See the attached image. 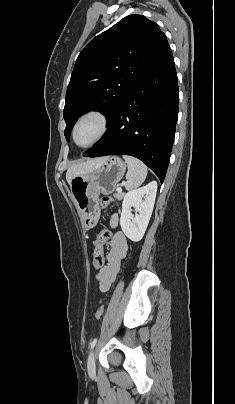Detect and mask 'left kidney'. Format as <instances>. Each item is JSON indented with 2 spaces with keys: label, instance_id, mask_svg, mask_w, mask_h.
<instances>
[{
  "label": "left kidney",
  "instance_id": "obj_1",
  "mask_svg": "<svg viewBox=\"0 0 235 404\" xmlns=\"http://www.w3.org/2000/svg\"><path fill=\"white\" fill-rule=\"evenodd\" d=\"M157 192V182L152 181L146 186L129 191L122 203L120 225L124 234L133 242L140 241L147 229L152 215ZM131 207L139 214L133 216Z\"/></svg>",
  "mask_w": 235,
  "mask_h": 404
}]
</instances>
